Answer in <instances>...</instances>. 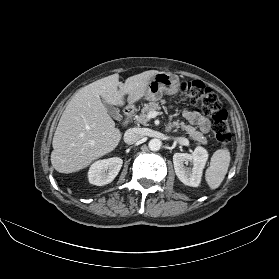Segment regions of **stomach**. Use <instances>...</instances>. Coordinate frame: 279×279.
I'll return each instance as SVG.
<instances>
[{
  "instance_id": "1",
  "label": "stomach",
  "mask_w": 279,
  "mask_h": 279,
  "mask_svg": "<svg viewBox=\"0 0 279 279\" xmlns=\"http://www.w3.org/2000/svg\"><path fill=\"white\" fill-rule=\"evenodd\" d=\"M179 89L180 82L177 76L167 72H159L150 80L145 93V99L148 101H158L165 94H177Z\"/></svg>"
}]
</instances>
